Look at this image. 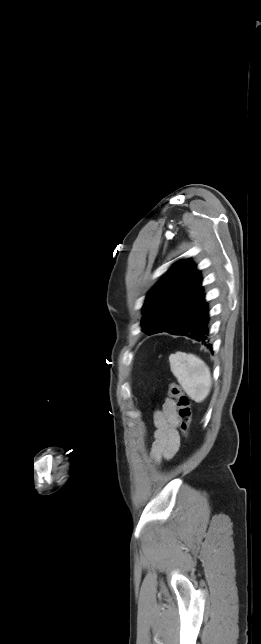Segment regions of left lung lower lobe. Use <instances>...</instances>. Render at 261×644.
<instances>
[{
  "label": "left lung lower lobe",
  "instance_id": "left-lung-lower-lobe-1",
  "mask_svg": "<svg viewBox=\"0 0 261 644\" xmlns=\"http://www.w3.org/2000/svg\"><path fill=\"white\" fill-rule=\"evenodd\" d=\"M168 333L173 335L187 336L193 340L201 342L202 344L212 349L209 334L210 330L208 304L204 302L188 320H186L178 327L172 329Z\"/></svg>",
  "mask_w": 261,
  "mask_h": 644
}]
</instances>
